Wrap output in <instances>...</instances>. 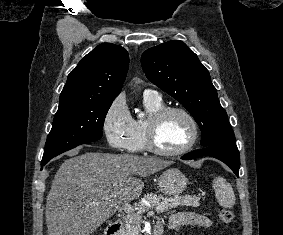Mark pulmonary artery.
Returning a JSON list of instances; mask_svg holds the SVG:
<instances>
[{"instance_id": "e3ab8cb5", "label": "pulmonary artery", "mask_w": 283, "mask_h": 235, "mask_svg": "<svg viewBox=\"0 0 283 235\" xmlns=\"http://www.w3.org/2000/svg\"><path fill=\"white\" fill-rule=\"evenodd\" d=\"M144 95H152V96H158L159 97V94L156 90H153V89H146L144 91Z\"/></svg>"}]
</instances>
